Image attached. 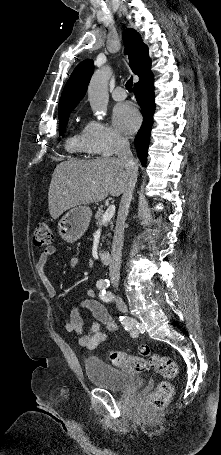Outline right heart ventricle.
<instances>
[{
  "mask_svg": "<svg viewBox=\"0 0 221 455\" xmlns=\"http://www.w3.org/2000/svg\"><path fill=\"white\" fill-rule=\"evenodd\" d=\"M66 149L70 153H88L83 137V132L71 134L66 141Z\"/></svg>",
  "mask_w": 221,
  "mask_h": 455,
  "instance_id": "1",
  "label": "right heart ventricle"
}]
</instances>
